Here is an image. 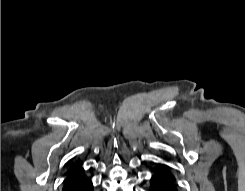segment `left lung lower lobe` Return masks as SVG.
Wrapping results in <instances>:
<instances>
[{
  "instance_id": "1",
  "label": "left lung lower lobe",
  "mask_w": 245,
  "mask_h": 191,
  "mask_svg": "<svg viewBox=\"0 0 245 191\" xmlns=\"http://www.w3.org/2000/svg\"><path fill=\"white\" fill-rule=\"evenodd\" d=\"M150 181L148 191H178L177 179L166 164H158Z\"/></svg>"
}]
</instances>
